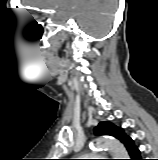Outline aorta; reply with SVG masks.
Returning a JSON list of instances; mask_svg holds the SVG:
<instances>
[{
  "mask_svg": "<svg viewBox=\"0 0 158 160\" xmlns=\"http://www.w3.org/2000/svg\"><path fill=\"white\" fill-rule=\"evenodd\" d=\"M93 147L97 149L107 148L111 152L113 159H128L129 157L124 145L111 137H101L95 139L93 142Z\"/></svg>",
  "mask_w": 158,
  "mask_h": 160,
  "instance_id": "obj_1",
  "label": "aorta"
}]
</instances>
